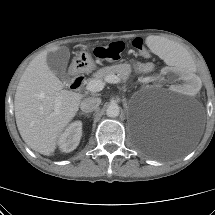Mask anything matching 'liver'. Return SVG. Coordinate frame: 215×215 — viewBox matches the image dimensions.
Masks as SVG:
<instances>
[{
    "label": "liver",
    "instance_id": "6515ba94",
    "mask_svg": "<svg viewBox=\"0 0 215 215\" xmlns=\"http://www.w3.org/2000/svg\"><path fill=\"white\" fill-rule=\"evenodd\" d=\"M57 49L55 46L45 50L29 63L14 99L22 139L31 149L47 156L55 151L59 136L76 115L83 98L82 94L64 90V84L48 67L47 54Z\"/></svg>",
    "mask_w": 215,
    "mask_h": 215
}]
</instances>
